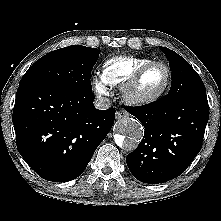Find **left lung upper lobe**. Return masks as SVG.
I'll list each match as a JSON object with an SVG mask.
<instances>
[{
    "label": "left lung upper lobe",
    "instance_id": "obj_1",
    "mask_svg": "<svg viewBox=\"0 0 221 221\" xmlns=\"http://www.w3.org/2000/svg\"><path fill=\"white\" fill-rule=\"evenodd\" d=\"M161 50L169 60L172 71V84L165 101L176 102L186 96L206 94L200 76L183 57L165 47H161Z\"/></svg>",
    "mask_w": 221,
    "mask_h": 221
}]
</instances>
